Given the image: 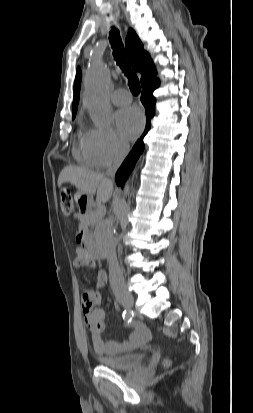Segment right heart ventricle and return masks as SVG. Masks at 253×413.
Here are the masks:
<instances>
[{
  "mask_svg": "<svg viewBox=\"0 0 253 413\" xmlns=\"http://www.w3.org/2000/svg\"><path fill=\"white\" fill-rule=\"evenodd\" d=\"M85 136L86 134L81 138L79 146L75 150V157L78 161L87 166L96 167L97 164L86 145Z\"/></svg>",
  "mask_w": 253,
  "mask_h": 413,
  "instance_id": "1",
  "label": "right heart ventricle"
}]
</instances>
